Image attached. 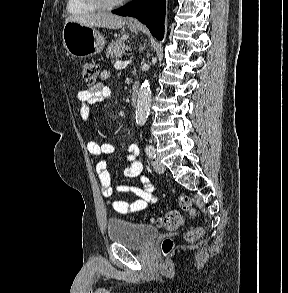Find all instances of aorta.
<instances>
[{
  "instance_id": "762f6f07",
  "label": "aorta",
  "mask_w": 288,
  "mask_h": 293,
  "mask_svg": "<svg viewBox=\"0 0 288 293\" xmlns=\"http://www.w3.org/2000/svg\"><path fill=\"white\" fill-rule=\"evenodd\" d=\"M151 102V90L150 83L145 80L138 93V101L136 106V123L139 126H143L147 120Z\"/></svg>"
}]
</instances>
